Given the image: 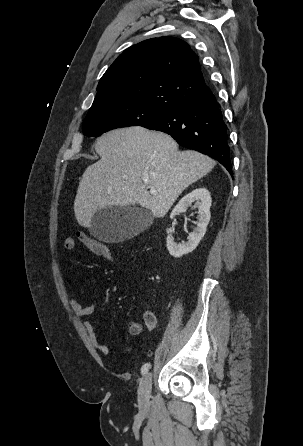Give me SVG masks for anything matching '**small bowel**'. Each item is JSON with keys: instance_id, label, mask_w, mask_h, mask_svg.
Instances as JSON below:
<instances>
[{"instance_id": "obj_1", "label": "small bowel", "mask_w": 303, "mask_h": 446, "mask_svg": "<svg viewBox=\"0 0 303 446\" xmlns=\"http://www.w3.org/2000/svg\"><path fill=\"white\" fill-rule=\"evenodd\" d=\"M77 239L93 254L97 255L99 242L90 237L85 231L79 230L76 233ZM75 247V239L72 236H67L64 240V248L67 251H72ZM70 305L77 317H85L93 314L96 311L97 304L84 305L77 299L70 297ZM157 325V319L151 309H146L142 320L133 319L128 323V332L130 335H139L144 329L153 330ZM86 330L89 334L92 344L103 354H108L109 347L105 343L98 341L95 334V327L92 323H86Z\"/></svg>"}]
</instances>
